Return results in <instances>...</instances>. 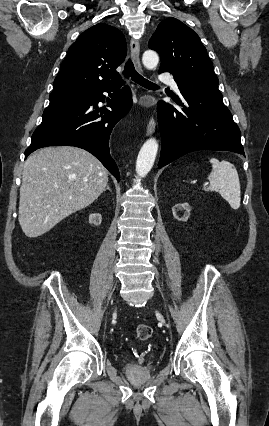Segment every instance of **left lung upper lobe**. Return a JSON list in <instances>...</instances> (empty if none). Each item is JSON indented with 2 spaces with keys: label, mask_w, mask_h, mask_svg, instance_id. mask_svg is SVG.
<instances>
[{
  "label": "left lung upper lobe",
  "mask_w": 269,
  "mask_h": 426,
  "mask_svg": "<svg viewBox=\"0 0 269 426\" xmlns=\"http://www.w3.org/2000/svg\"><path fill=\"white\" fill-rule=\"evenodd\" d=\"M161 58L160 69L191 79L197 85L217 83L213 64L198 35L176 18H167L149 40Z\"/></svg>",
  "instance_id": "obj_1"
}]
</instances>
